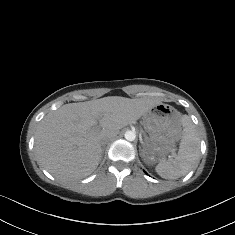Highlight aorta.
Segmentation results:
<instances>
[{"label":"aorta","instance_id":"762f6f07","mask_svg":"<svg viewBox=\"0 0 235 235\" xmlns=\"http://www.w3.org/2000/svg\"><path fill=\"white\" fill-rule=\"evenodd\" d=\"M136 138V133L134 131H126L125 132V139L128 141H134Z\"/></svg>","mask_w":235,"mask_h":235}]
</instances>
